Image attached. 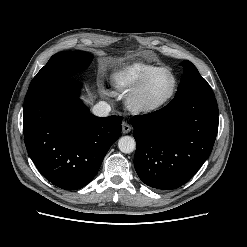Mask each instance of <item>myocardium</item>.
Here are the masks:
<instances>
[{
    "label": "myocardium",
    "instance_id": "myocardium-1",
    "mask_svg": "<svg viewBox=\"0 0 247 247\" xmlns=\"http://www.w3.org/2000/svg\"><path fill=\"white\" fill-rule=\"evenodd\" d=\"M157 71H166L170 74L173 80L172 88L169 92V94L163 98L162 100L155 102V103H147L141 100V91L143 89V86L147 79L152 75L153 73ZM178 87V81L176 78V75L174 72L166 66H155L144 72L141 77L137 80V82L134 84V86L129 90L127 96H126V105L127 107L135 112V113H141V114H148L156 112L163 107H165L174 97Z\"/></svg>",
    "mask_w": 247,
    "mask_h": 247
}]
</instances>
